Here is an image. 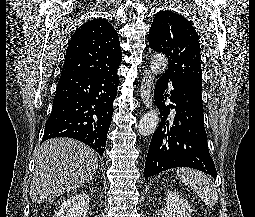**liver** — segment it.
<instances>
[{
    "mask_svg": "<svg viewBox=\"0 0 255 217\" xmlns=\"http://www.w3.org/2000/svg\"><path fill=\"white\" fill-rule=\"evenodd\" d=\"M97 169V153L89 146L71 138L47 140L35 154L32 202L41 203L83 186Z\"/></svg>",
    "mask_w": 255,
    "mask_h": 217,
    "instance_id": "1",
    "label": "liver"
}]
</instances>
